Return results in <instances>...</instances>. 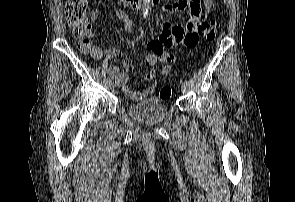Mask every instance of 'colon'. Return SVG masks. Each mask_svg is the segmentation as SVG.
<instances>
[{"label":"colon","mask_w":295,"mask_h":202,"mask_svg":"<svg viewBox=\"0 0 295 202\" xmlns=\"http://www.w3.org/2000/svg\"><path fill=\"white\" fill-rule=\"evenodd\" d=\"M65 18L68 28L79 39V47L84 52L91 51V45L86 39L90 34L91 25L87 17V1L86 0H67L64 5ZM217 22L211 20L207 26V40L214 39L217 32ZM144 64L148 68H155L158 64L157 52H148V56L144 57ZM146 75H155V70H146ZM149 90H158V82L156 79L149 80ZM172 90L169 86H164L159 91L162 99H169Z\"/></svg>","instance_id":"obj_1"}]
</instances>
